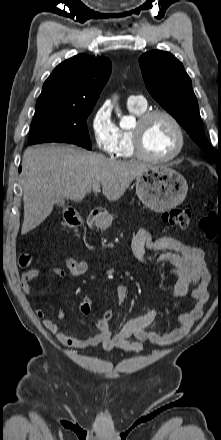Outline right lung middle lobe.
Here are the masks:
<instances>
[{"instance_id":"obj_1","label":"right lung middle lobe","mask_w":221,"mask_h":440,"mask_svg":"<svg viewBox=\"0 0 221 440\" xmlns=\"http://www.w3.org/2000/svg\"><path fill=\"white\" fill-rule=\"evenodd\" d=\"M93 106H72L54 101L37 104L29 144L66 142L91 149L87 117Z\"/></svg>"}]
</instances>
